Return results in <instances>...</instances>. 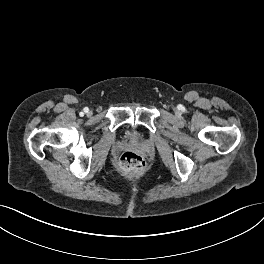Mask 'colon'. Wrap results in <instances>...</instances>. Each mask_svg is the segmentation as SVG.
Listing matches in <instances>:
<instances>
[{
    "label": "colon",
    "mask_w": 264,
    "mask_h": 264,
    "mask_svg": "<svg viewBox=\"0 0 264 264\" xmlns=\"http://www.w3.org/2000/svg\"><path fill=\"white\" fill-rule=\"evenodd\" d=\"M144 159L137 153L127 151L123 153L117 163L118 170L128 176H134L143 171Z\"/></svg>",
    "instance_id": "obj_1"
}]
</instances>
